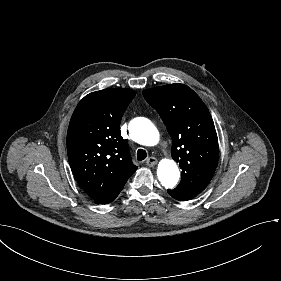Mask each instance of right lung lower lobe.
Masks as SVG:
<instances>
[{
  "mask_svg": "<svg viewBox=\"0 0 281 281\" xmlns=\"http://www.w3.org/2000/svg\"><path fill=\"white\" fill-rule=\"evenodd\" d=\"M125 185V184H124ZM119 187L117 190H115L114 192H112L111 194H109L107 197L102 198L100 201H98L97 203L99 204H106V203H110L111 201H113L118 194L120 193V191L122 190L123 186Z\"/></svg>",
  "mask_w": 281,
  "mask_h": 281,
  "instance_id": "98d812e1",
  "label": "right lung lower lobe"
}]
</instances>
